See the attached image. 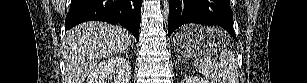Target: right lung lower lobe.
<instances>
[{"mask_svg": "<svg viewBox=\"0 0 307 83\" xmlns=\"http://www.w3.org/2000/svg\"><path fill=\"white\" fill-rule=\"evenodd\" d=\"M142 0H72L65 29L85 21L121 24L139 40Z\"/></svg>", "mask_w": 307, "mask_h": 83, "instance_id": "98d812e1", "label": "right lung lower lobe"}]
</instances>
